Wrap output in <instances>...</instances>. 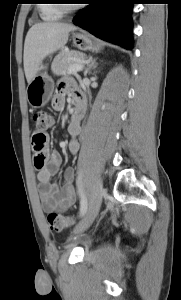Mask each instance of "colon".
<instances>
[{
	"label": "colon",
	"mask_w": 181,
	"mask_h": 300,
	"mask_svg": "<svg viewBox=\"0 0 181 300\" xmlns=\"http://www.w3.org/2000/svg\"><path fill=\"white\" fill-rule=\"evenodd\" d=\"M33 133H32V149L34 151V161L39 168L44 164V150L48 142L45 130L54 124V116L51 113L38 111L33 117ZM49 227L54 231H62L69 228L73 224V219L56 212H50L47 215Z\"/></svg>",
	"instance_id": "obj_1"
}]
</instances>
